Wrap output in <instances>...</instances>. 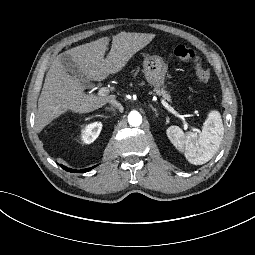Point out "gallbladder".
Segmentation results:
<instances>
[{
	"label": "gallbladder",
	"instance_id": "obj_1",
	"mask_svg": "<svg viewBox=\"0 0 255 255\" xmlns=\"http://www.w3.org/2000/svg\"><path fill=\"white\" fill-rule=\"evenodd\" d=\"M61 62L74 74L78 75L79 78H81V70L80 68L75 64V62L72 60V58L65 53L60 54ZM86 87H89L90 85H87L85 83Z\"/></svg>",
	"mask_w": 255,
	"mask_h": 255
}]
</instances>
